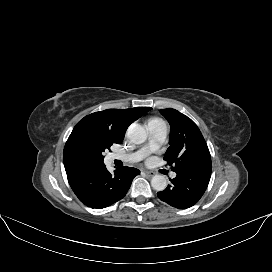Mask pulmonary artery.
I'll use <instances>...</instances> for the list:
<instances>
[{"label":"pulmonary artery","mask_w":272,"mask_h":272,"mask_svg":"<svg viewBox=\"0 0 272 272\" xmlns=\"http://www.w3.org/2000/svg\"><path fill=\"white\" fill-rule=\"evenodd\" d=\"M149 138L147 144L140 150L127 154L119 155L114 154L113 158L122 160L125 162H136L141 160L148 152L159 148L167 137V125L162 120H152L147 124ZM171 176L176 177V173H172Z\"/></svg>","instance_id":"1"}]
</instances>
